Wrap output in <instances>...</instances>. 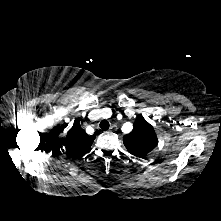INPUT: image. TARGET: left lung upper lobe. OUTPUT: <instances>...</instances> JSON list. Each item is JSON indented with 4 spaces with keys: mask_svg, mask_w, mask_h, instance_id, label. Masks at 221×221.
I'll list each match as a JSON object with an SVG mask.
<instances>
[{
    "mask_svg": "<svg viewBox=\"0 0 221 221\" xmlns=\"http://www.w3.org/2000/svg\"><path fill=\"white\" fill-rule=\"evenodd\" d=\"M124 145L134 156L144 158L158 144L153 127L139 115L134 122L133 131L123 137Z\"/></svg>",
    "mask_w": 221,
    "mask_h": 221,
    "instance_id": "obj_1",
    "label": "left lung upper lobe"
}]
</instances>
